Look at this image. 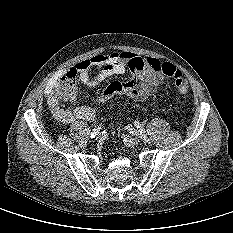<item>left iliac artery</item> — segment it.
<instances>
[{
    "mask_svg": "<svg viewBox=\"0 0 233 233\" xmlns=\"http://www.w3.org/2000/svg\"><path fill=\"white\" fill-rule=\"evenodd\" d=\"M135 126H136V128L139 129V131H140L141 139H143L144 142H148L149 139H148V137L146 136L145 130L142 128L141 124H139L138 122H135ZM133 132H134V131H133ZM133 132H132V133H133Z\"/></svg>",
    "mask_w": 233,
    "mask_h": 233,
    "instance_id": "1",
    "label": "left iliac artery"
}]
</instances>
